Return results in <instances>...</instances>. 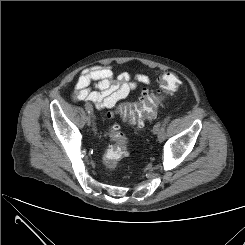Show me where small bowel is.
Segmentation results:
<instances>
[{"instance_id":"obj_1","label":"small bowel","mask_w":245,"mask_h":245,"mask_svg":"<svg viewBox=\"0 0 245 245\" xmlns=\"http://www.w3.org/2000/svg\"><path fill=\"white\" fill-rule=\"evenodd\" d=\"M114 76L112 67L108 65H96L84 70L76 82L73 99L91 102L98 109L112 108L135 90L139 83L149 84L151 81L146 74L132 77L123 72L113 80Z\"/></svg>"}]
</instances>
